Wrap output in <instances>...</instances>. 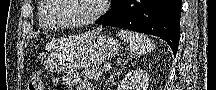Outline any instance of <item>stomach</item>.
I'll return each instance as SVG.
<instances>
[{"instance_id":"1","label":"stomach","mask_w":216,"mask_h":90,"mask_svg":"<svg viewBox=\"0 0 216 90\" xmlns=\"http://www.w3.org/2000/svg\"><path fill=\"white\" fill-rule=\"evenodd\" d=\"M119 46L118 41L111 36H93L80 47V51L70 55H50L44 66L50 72H61L67 68L95 67L113 58Z\"/></svg>"}]
</instances>
